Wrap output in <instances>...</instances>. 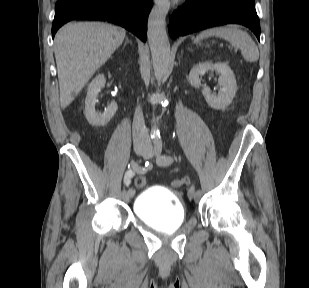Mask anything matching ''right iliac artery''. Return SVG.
Returning a JSON list of instances; mask_svg holds the SVG:
<instances>
[{"label": "right iliac artery", "instance_id": "obj_1", "mask_svg": "<svg viewBox=\"0 0 309 288\" xmlns=\"http://www.w3.org/2000/svg\"><path fill=\"white\" fill-rule=\"evenodd\" d=\"M151 167H152V164H151L150 162L147 161V162L145 163V165H144V172L147 173L148 171H150ZM131 171H132V170H131ZM133 173H134V172H133ZM134 191H135L134 188H132V187H131V188H130V187L128 188V193H131V195H132V193H134Z\"/></svg>", "mask_w": 309, "mask_h": 288}]
</instances>
